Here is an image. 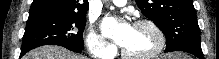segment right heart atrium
<instances>
[{
  "instance_id": "1",
  "label": "right heart atrium",
  "mask_w": 219,
  "mask_h": 59,
  "mask_svg": "<svg viewBox=\"0 0 219 59\" xmlns=\"http://www.w3.org/2000/svg\"><path fill=\"white\" fill-rule=\"evenodd\" d=\"M86 47L89 54L98 59H107L113 53V46L94 29H90L87 33Z\"/></svg>"
}]
</instances>
